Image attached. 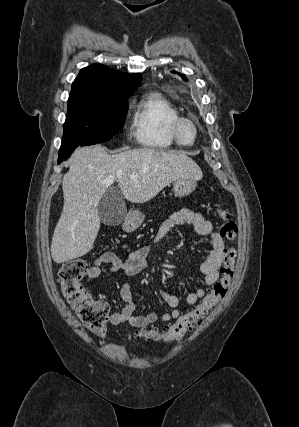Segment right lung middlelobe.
I'll return each instance as SVG.
<instances>
[{
  "label": "right lung middle lobe",
  "mask_w": 299,
  "mask_h": 427,
  "mask_svg": "<svg viewBox=\"0 0 299 427\" xmlns=\"http://www.w3.org/2000/svg\"><path fill=\"white\" fill-rule=\"evenodd\" d=\"M130 96L68 100L59 152L107 141L123 128Z\"/></svg>",
  "instance_id": "obj_1"
}]
</instances>
